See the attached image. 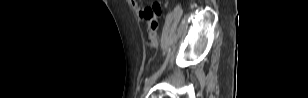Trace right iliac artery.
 Returning a JSON list of instances; mask_svg holds the SVG:
<instances>
[{
    "label": "right iliac artery",
    "instance_id": "1",
    "mask_svg": "<svg viewBox=\"0 0 308 98\" xmlns=\"http://www.w3.org/2000/svg\"><path fill=\"white\" fill-rule=\"evenodd\" d=\"M166 65V61L165 63L162 65V67L160 68V70L155 73L154 75H152L149 79H146L145 84H147L148 82H150L152 79L156 78L158 76V74L165 68Z\"/></svg>",
    "mask_w": 308,
    "mask_h": 98
}]
</instances>
